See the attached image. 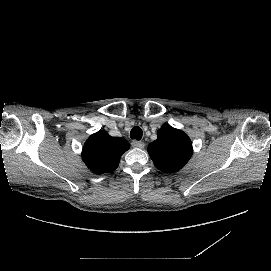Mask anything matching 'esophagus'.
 Instances as JSON below:
<instances>
[{
	"instance_id": "1",
	"label": "esophagus",
	"mask_w": 271,
	"mask_h": 271,
	"mask_svg": "<svg viewBox=\"0 0 271 271\" xmlns=\"http://www.w3.org/2000/svg\"><path fill=\"white\" fill-rule=\"evenodd\" d=\"M131 145L133 148L143 149L145 146V143L142 141L133 140L131 142Z\"/></svg>"
}]
</instances>
